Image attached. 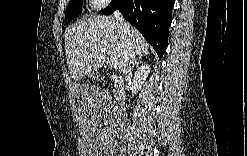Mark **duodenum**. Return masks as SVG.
I'll return each mask as SVG.
<instances>
[{"instance_id":"1","label":"duodenum","mask_w":247,"mask_h":156,"mask_svg":"<svg viewBox=\"0 0 247 156\" xmlns=\"http://www.w3.org/2000/svg\"><path fill=\"white\" fill-rule=\"evenodd\" d=\"M112 79L115 83L116 92H117L118 96L120 97L119 105H122V97L126 93V87H125L122 79H120V78H112Z\"/></svg>"}]
</instances>
